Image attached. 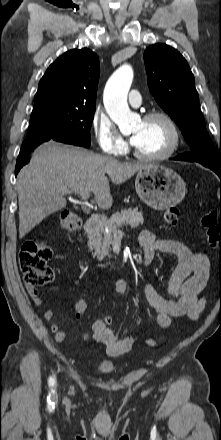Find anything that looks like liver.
Segmentation results:
<instances>
[{
    "label": "liver",
    "mask_w": 221,
    "mask_h": 440,
    "mask_svg": "<svg viewBox=\"0 0 221 440\" xmlns=\"http://www.w3.org/2000/svg\"><path fill=\"white\" fill-rule=\"evenodd\" d=\"M145 165L120 162L54 141L43 143L17 177L19 238L47 216L65 208L66 191L92 192L98 206L109 209L113 203L109 180L119 185Z\"/></svg>",
    "instance_id": "1"
}]
</instances>
